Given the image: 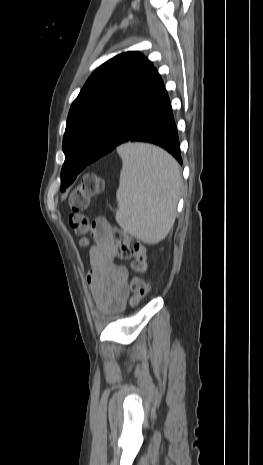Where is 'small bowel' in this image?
Here are the masks:
<instances>
[{
	"label": "small bowel",
	"mask_w": 263,
	"mask_h": 465,
	"mask_svg": "<svg viewBox=\"0 0 263 465\" xmlns=\"http://www.w3.org/2000/svg\"><path fill=\"white\" fill-rule=\"evenodd\" d=\"M93 238L87 283L97 307L104 313L115 314L124 308L129 294L128 271L115 262L118 248L111 241L108 228H96Z\"/></svg>",
	"instance_id": "c3829d8e"
}]
</instances>
